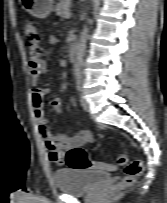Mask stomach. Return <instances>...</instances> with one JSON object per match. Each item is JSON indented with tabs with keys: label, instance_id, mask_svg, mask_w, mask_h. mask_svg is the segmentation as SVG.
Segmentation results:
<instances>
[{
	"label": "stomach",
	"instance_id": "0dacf381",
	"mask_svg": "<svg viewBox=\"0 0 167 203\" xmlns=\"http://www.w3.org/2000/svg\"><path fill=\"white\" fill-rule=\"evenodd\" d=\"M22 8L38 18H46L52 11L53 0H20Z\"/></svg>",
	"mask_w": 167,
	"mask_h": 203
}]
</instances>
